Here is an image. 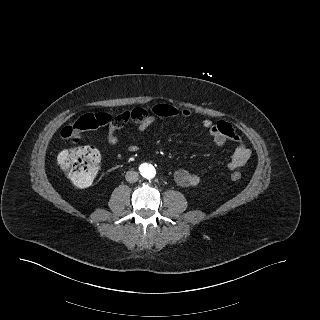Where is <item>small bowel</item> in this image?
I'll use <instances>...</instances> for the list:
<instances>
[{
	"label": "small bowel",
	"mask_w": 320,
	"mask_h": 320,
	"mask_svg": "<svg viewBox=\"0 0 320 320\" xmlns=\"http://www.w3.org/2000/svg\"><path fill=\"white\" fill-rule=\"evenodd\" d=\"M120 119L118 122L109 124L107 130V141L110 145L116 146L118 144L117 131L122 129L129 123H134L139 133L145 132L157 118H173L182 117L188 119L192 116L189 109H178L172 105L161 103L154 105L150 110L144 108H134L118 115ZM203 127L208 131L214 144L217 147L224 146L228 141L237 143L233 155L228 162V168L235 170L243 166L251 155L250 149L241 142L239 136L235 133L232 126L225 122H213L209 119L202 121ZM139 147L137 145H130L128 150L130 152H137ZM174 180L181 187H194L200 183L199 175L192 173L185 169H178L174 172Z\"/></svg>",
	"instance_id": "obj_1"
}]
</instances>
